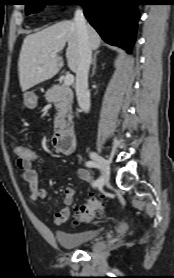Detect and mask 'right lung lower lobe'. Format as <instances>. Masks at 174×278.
Masks as SVG:
<instances>
[{
    "instance_id": "right-lung-lower-lobe-1",
    "label": "right lung lower lobe",
    "mask_w": 174,
    "mask_h": 278,
    "mask_svg": "<svg viewBox=\"0 0 174 278\" xmlns=\"http://www.w3.org/2000/svg\"><path fill=\"white\" fill-rule=\"evenodd\" d=\"M84 15L109 44L132 52L140 17L137 0H78Z\"/></svg>"
}]
</instances>
